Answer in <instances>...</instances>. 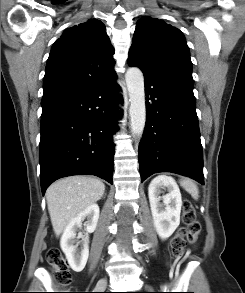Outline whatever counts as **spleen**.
<instances>
[{"instance_id":"spleen-1","label":"spleen","mask_w":245,"mask_h":293,"mask_svg":"<svg viewBox=\"0 0 245 293\" xmlns=\"http://www.w3.org/2000/svg\"><path fill=\"white\" fill-rule=\"evenodd\" d=\"M180 185L189 193L191 196L197 200L199 197V190L195 182L190 179H183L180 181Z\"/></svg>"}]
</instances>
